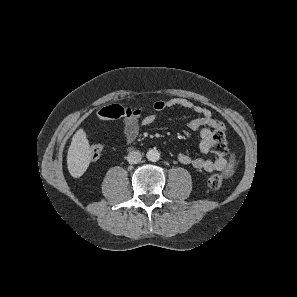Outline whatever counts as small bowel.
Here are the masks:
<instances>
[{"label":"small bowel","instance_id":"1","mask_svg":"<svg viewBox=\"0 0 297 297\" xmlns=\"http://www.w3.org/2000/svg\"><path fill=\"white\" fill-rule=\"evenodd\" d=\"M181 107L195 112L198 116L192 118L187 123L190 131L198 132L200 135L199 150L202 154H207L212 149L213 135L216 129L224 131L223 124L215 119L211 111L185 98H171L168 100H157L153 103L154 113L145 114L144 110L138 108L136 113L129 117H124L122 121L123 134L127 143H132L139 132L140 125L148 126L156 120V113L167 109ZM178 160L193 167L195 170L212 173L224 171L228 167V160L224 156L215 159L202 157H192L185 153L178 155Z\"/></svg>","mask_w":297,"mask_h":297}]
</instances>
